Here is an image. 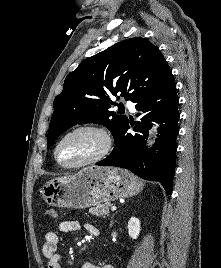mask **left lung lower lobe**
I'll return each instance as SVG.
<instances>
[{
	"instance_id": "0a47b994",
	"label": "left lung lower lobe",
	"mask_w": 221,
	"mask_h": 268,
	"mask_svg": "<svg viewBox=\"0 0 221 268\" xmlns=\"http://www.w3.org/2000/svg\"><path fill=\"white\" fill-rule=\"evenodd\" d=\"M135 103L139 112L137 116L141 118L135 125L131 122L130 124L137 133L134 135L127 133L130 128L128 121L114 138L115 147L112 153L96 165L125 168L143 179L158 181L169 195L172 192L176 165V137L179 133L180 117L174 78L171 77L158 89ZM152 121L161 125L153 148L147 149L145 140L152 127Z\"/></svg>"
}]
</instances>
